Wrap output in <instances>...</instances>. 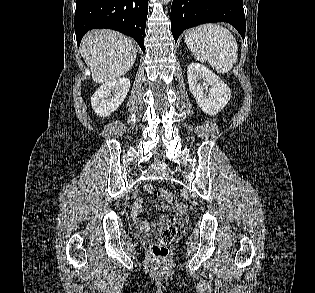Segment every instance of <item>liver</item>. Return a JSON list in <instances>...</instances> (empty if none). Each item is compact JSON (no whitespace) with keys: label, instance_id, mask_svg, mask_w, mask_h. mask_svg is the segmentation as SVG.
I'll return each instance as SVG.
<instances>
[{"label":"liver","instance_id":"obj_1","mask_svg":"<svg viewBox=\"0 0 315 293\" xmlns=\"http://www.w3.org/2000/svg\"><path fill=\"white\" fill-rule=\"evenodd\" d=\"M80 52L96 83H107L125 75L137 56L132 40L112 30L89 32L82 39Z\"/></svg>","mask_w":315,"mask_h":293}]
</instances>
